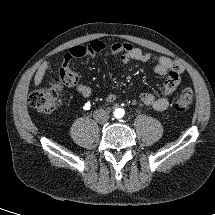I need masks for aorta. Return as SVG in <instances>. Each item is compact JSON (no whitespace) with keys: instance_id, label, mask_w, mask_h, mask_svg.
I'll return each instance as SVG.
<instances>
[{"instance_id":"aorta-1","label":"aorta","mask_w":215,"mask_h":215,"mask_svg":"<svg viewBox=\"0 0 215 215\" xmlns=\"http://www.w3.org/2000/svg\"><path fill=\"white\" fill-rule=\"evenodd\" d=\"M123 115V112H122V110H117L116 111V117H121Z\"/></svg>"}]
</instances>
